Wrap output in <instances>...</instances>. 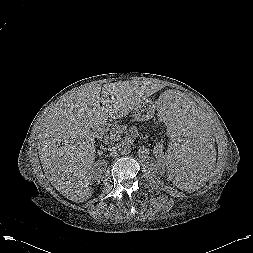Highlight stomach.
<instances>
[{
    "label": "stomach",
    "mask_w": 253,
    "mask_h": 253,
    "mask_svg": "<svg viewBox=\"0 0 253 253\" xmlns=\"http://www.w3.org/2000/svg\"><path fill=\"white\" fill-rule=\"evenodd\" d=\"M155 114L154 105L143 102L133 110V116L138 121L150 120Z\"/></svg>",
    "instance_id": "0dacf381"
}]
</instances>
